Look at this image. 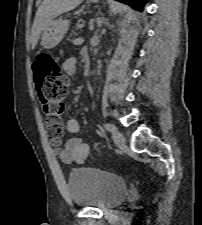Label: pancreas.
<instances>
[{
  "mask_svg": "<svg viewBox=\"0 0 202 225\" xmlns=\"http://www.w3.org/2000/svg\"><path fill=\"white\" fill-rule=\"evenodd\" d=\"M80 26H81L80 23H77L76 27H77V28H80ZM74 35H76L75 32H74Z\"/></svg>",
  "mask_w": 202,
  "mask_h": 225,
  "instance_id": "cf45deb5",
  "label": "pancreas"
}]
</instances>
